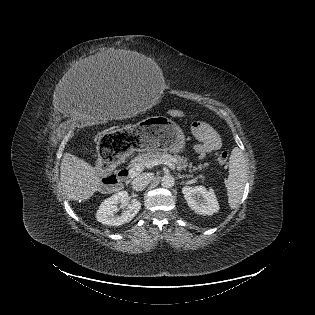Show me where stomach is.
Segmentation results:
<instances>
[{
    "label": "stomach",
    "instance_id": "0dacf381",
    "mask_svg": "<svg viewBox=\"0 0 315 315\" xmlns=\"http://www.w3.org/2000/svg\"><path fill=\"white\" fill-rule=\"evenodd\" d=\"M185 148V135L178 124L165 116L143 119L134 127L121 132H107L99 140V153L107 161H114L134 151L181 152Z\"/></svg>",
    "mask_w": 315,
    "mask_h": 315
}]
</instances>
